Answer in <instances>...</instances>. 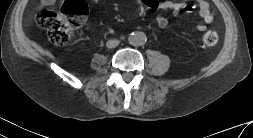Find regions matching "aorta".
Returning <instances> with one entry per match:
<instances>
[{"label":"aorta","instance_id":"1","mask_svg":"<svg viewBox=\"0 0 253 138\" xmlns=\"http://www.w3.org/2000/svg\"><path fill=\"white\" fill-rule=\"evenodd\" d=\"M128 41L131 45L141 46L146 42V35L144 32L136 31L128 36Z\"/></svg>","mask_w":253,"mask_h":138}]
</instances>
